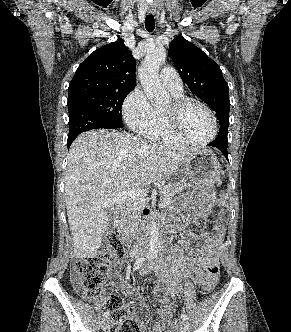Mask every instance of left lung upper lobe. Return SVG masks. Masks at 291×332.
<instances>
[{
	"instance_id": "1",
	"label": "left lung upper lobe",
	"mask_w": 291,
	"mask_h": 332,
	"mask_svg": "<svg viewBox=\"0 0 291 332\" xmlns=\"http://www.w3.org/2000/svg\"><path fill=\"white\" fill-rule=\"evenodd\" d=\"M168 54L190 90L209 105L216 113L220 128L228 132L229 87L220 67L182 36L170 43Z\"/></svg>"
}]
</instances>
